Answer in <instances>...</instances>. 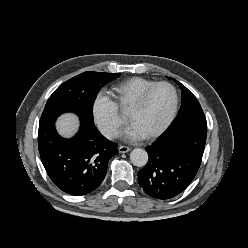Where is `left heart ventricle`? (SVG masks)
Returning <instances> with one entry per match:
<instances>
[{"label":"left heart ventricle","instance_id":"left-heart-ventricle-1","mask_svg":"<svg viewBox=\"0 0 248 248\" xmlns=\"http://www.w3.org/2000/svg\"><path fill=\"white\" fill-rule=\"evenodd\" d=\"M173 106V92L167 86L155 88L143 108L131 114L130 123L144 136L156 131L168 118Z\"/></svg>","mask_w":248,"mask_h":248}]
</instances>
